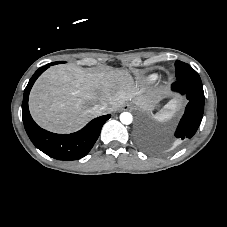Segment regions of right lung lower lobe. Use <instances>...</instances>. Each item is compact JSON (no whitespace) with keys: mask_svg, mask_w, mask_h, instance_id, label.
I'll return each mask as SVG.
<instances>
[{"mask_svg":"<svg viewBox=\"0 0 227 227\" xmlns=\"http://www.w3.org/2000/svg\"><path fill=\"white\" fill-rule=\"evenodd\" d=\"M53 63L39 68L29 80L24 91L22 119L32 143L48 156L59 160H77L88 154L99 137L103 124L111 117L104 115L93 119L83 129L72 134H55L40 128L32 119L28 97L36 79Z\"/></svg>","mask_w":227,"mask_h":227,"instance_id":"98d812e1","label":"right lung lower lobe"}]
</instances>
